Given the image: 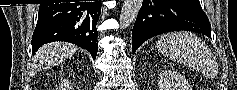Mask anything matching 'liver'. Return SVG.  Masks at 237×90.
I'll list each match as a JSON object with an SVG mask.
<instances>
[{
    "label": "liver",
    "mask_w": 237,
    "mask_h": 90,
    "mask_svg": "<svg viewBox=\"0 0 237 90\" xmlns=\"http://www.w3.org/2000/svg\"><path fill=\"white\" fill-rule=\"evenodd\" d=\"M78 48L73 44H62V42H52V44H45L38 50L33 60L36 62L37 68H50L56 66L59 62H63L66 58H71L76 54Z\"/></svg>",
    "instance_id": "1"
}]
</instances>
